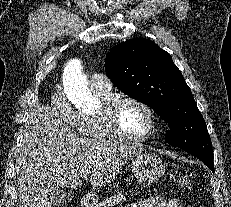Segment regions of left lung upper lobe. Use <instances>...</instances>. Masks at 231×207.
I'll return each mask as SVG.
<instances>
[{
    "mask_svg": "<svg viewBox=\"0 0 231 207\" xmlns=\"http://www.w3.org/2000/svg\"><path fill=\"white\" fill-rule=\"evenodd\" d=\"M105 71L118 89L154 108L168 123L170 145L213 155L205 120L169 53L149 39H131L110 50Z\"/></svg>",
    "mask_w": 231,
    "mask_h": 207,
    "instance_id": "5c2ea615",
    "label": "left lung upper lobe"
}]
</instances>
